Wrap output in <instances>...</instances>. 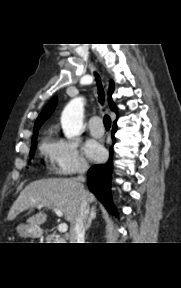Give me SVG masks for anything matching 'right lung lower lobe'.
Returning a JSON list of instances; mask_svg holds the SVG:
<instances>
[{"label":"right lung lower lobe","mask_w":181,"mask_h":288,"mask_svg":"<svg viewBox=\"0 0 181 288\" xmlns=\"http://www.w3.org/2000/svg\"><path fill=\"white\" fill-rule=\"evenodd\" d=\"M117 127L116 123H114L112 130V139L114 141V133L116 132ZM112 155L113 149L110 148V159L106 164H98L92 166L88 171V187L91 192L103 203L106 209L110 213L114 212V206L111 199V191H110V175L112 171ZM118 216V215H117Z\"/></svg>","instance_id":"right-lung-lower-lobe-1"}]
</instances>
